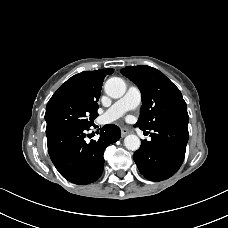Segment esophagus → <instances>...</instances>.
I'll list each match as a JSON object with an SVG mask.
<instances>
[{
	"instance_id": "1",
	"label": "esophagus",
	"mask_w": 228,
	"mask_h": 228,
	"mask_svg": "<svg viewBox=\"0 0 228 228\" xmlns=\"http://www.w3.org/2000/svg\"><path fill=\"white\" fill-rule=\"evenodd\" d=\"M128 133H129V130L128 129H126V128H122L121 129V136L122 137H125Z\"/></svg>"
}]
</instances>
